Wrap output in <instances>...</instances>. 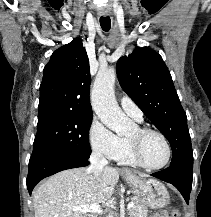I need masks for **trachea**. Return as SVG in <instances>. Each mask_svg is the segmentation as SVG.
<instances>
[{
	"label": "trachea",
	"mask_w": 211,
	"mask_h": 217,
	"mask_svg": "<svg viewBox=\"0 0 211 217\" xmlns=\"http://www.w3.org/2000/svg\"><path fill=\"white\" fill-rule=\"evenodd\" d=\"M100 25L104 31H109L111 27V19L109 17H101Z\"/></svg>",
	"instance_id": "obj_1"
}]
</instances>
